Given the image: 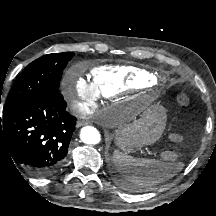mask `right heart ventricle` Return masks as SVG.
Segmentation results:
<instances>
[{
	"mask_svg": "<svg viewBox=\"0 0 216 216\" xmlns=\"http://www.w3.org/2000/svg\"><path fill=\"white\" fill-rule=\"evenodd\" d=\"M90 75L91 84L98 96L102 97L133 91L152 79L148 71L124 64L97 66Z\"/></svg>",
	"mask_w": 216,
	"mask_h": 216,
	"instance_id": "1",
	"label": "right heart ventricle"
}]
</instances>
